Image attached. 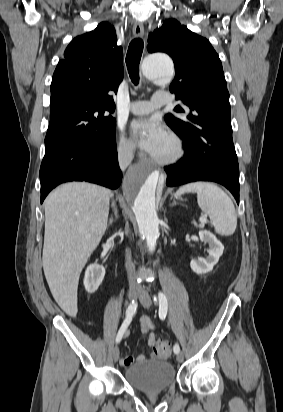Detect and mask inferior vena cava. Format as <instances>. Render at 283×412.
I'll use <instances>...</instances> for the list:
<instances>
[{"label":"inferior vena cava","mask_w":283,"mask_h":412,"mask_svg":"<svg viewBox=\"0 0 283 412\" xmlns=\"http://www.w3.org/2000/svg\"><path fill=\"white\" fill-rule=\"evenodd\" d=\"M134 157L133 146L121 147L118 150V162L122 171H124L132 162ZM126 269L128 272V279L130 287L137 286L136 278L134 276L135 266L131 261V254L126 250Z\"/></svg>","instance_id":"inferior-vena-cava-1"}]
</instances>
